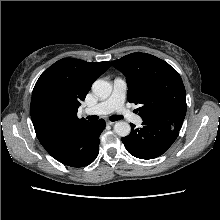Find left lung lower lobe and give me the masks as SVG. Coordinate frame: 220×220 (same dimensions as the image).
Returning <instances> with one entry per match:
<instances>
[{"label": "left lung lower lobe", "instance_id": "1", "mask_svg": "<svg viewBox=\"0 0 220 220\" xmlns=\"http://www.w3.org/2000/svg\"><path fill=\"white\" fill-rule=\"evenodd\" d=\"M130 125L131 133L122 142L131 155L140 159H153L166 152L182 126L162 118L143 120L141 128Z\"/></svg>", "mask_w": 220, "mask_h": 220}]
</instances>
